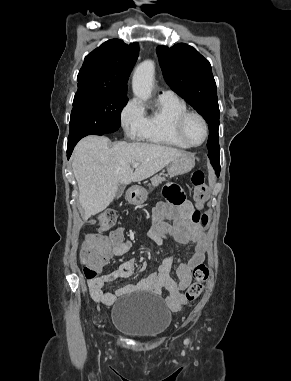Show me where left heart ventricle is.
<instances>
[{
	"mask_svg": "<svg viewBox=\"0 0 291 381\" xmlns=\"http://www.w3.org/2000/svg\"><path fill=\"white\" fill-rule=\"evenodd\" d=\"M185 132L192 143H200L204 137V127L202 122L197 117L188 118L185 123Z\"/></svg>",
	"mask_w": 291,
	"mask_h": 381,
	"instance_id": "obj_1",
	"label": "left heart ventricle"
}]
</instances>
